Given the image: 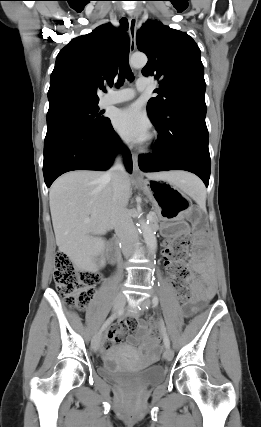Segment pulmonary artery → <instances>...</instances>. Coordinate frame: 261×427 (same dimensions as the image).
<instances>
[{
  "label": "pulmonary artery",
  "mask_w": 261,
  "mask_h": 427,
  "mask_svg": "<svg viewBox=\"0 0 261 427\" xmlns=\"http://www.w3.org/2000/svg\"><path fill=\"white\" fill-rule=\"evenodd\" d=\"M150 87V81L147 78H140L136 84L137 91H144ZM135 89L125 88L117 92L106 95L100 102L102 107L118 104L132 100L135 97Z\"/></svg>",
  "instance_id": "pulmonary-artery-1"
}]
</instances>
